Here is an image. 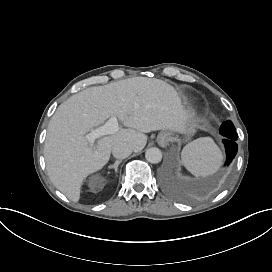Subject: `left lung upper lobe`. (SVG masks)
I'll list each match as a JSON object with an SVG mask.
<instances>
[{"label": "left lung upper lobe", "instance_id": "obj_1", "mask_svg": "<svg viewBox=\"0 0 272 272\" xmlns=\"http://www.w3.org/2000/svg\"><path fill=\"white\" fill-rule=\"evenodd\" d=\"M220 134L231 138H237L235 127L231 121H225L222 123Z\"/></svg>", "mask_w": 272, "mask_h": 272}]
</instances>
